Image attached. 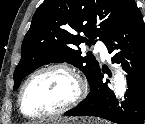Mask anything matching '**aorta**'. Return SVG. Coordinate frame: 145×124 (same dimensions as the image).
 I'll return each instance as SVG.
<instances>
[{"label": "aorta", "mask_w": 145, "mask_h": 124, "mask_svg": "<svg viewBox=\"0 0 145 124\" xmlns=\"http://www.w3.org/2000/svg\"><path fill=\"white\" fill-rule=\"evenodd\" d=\"M114 91L116 97H123L126 91V78L122 71H118L114 76Z\"/></svg>", "instance_id": "762f6f07"}]
</instances>
